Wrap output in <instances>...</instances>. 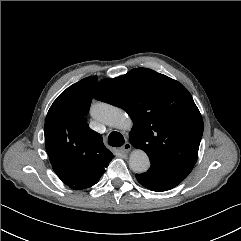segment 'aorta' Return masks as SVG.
I'll return each instance as SVG.
<instances>
[{
	"label": "aorta",
	"mask_w": 241,
	"mask_h": 241,
	"mask_svg": "<svg viewBox=\"0 0 241 241\" xmlns=\"http://www.w3.org/2000/svg\"><path fill=\"white\" fill-rule=\"evenodd\" d=\"M90 115L97 121L120 130H130L133 122L122 109L98 102L92 105ZM129 167L135 173H144L150 167L148 155L142 149H134L129 157Z\"/></svg>",
	"instance_id": "1"
}]
</instances>
